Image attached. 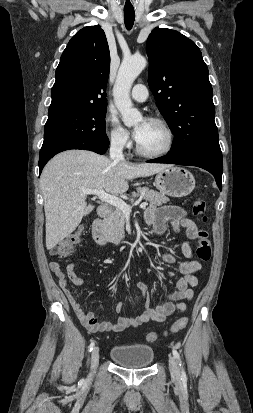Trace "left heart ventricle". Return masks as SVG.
Wrapping results in <instances>:
<instances>
[{"mask_svg": "<svg viewBox=\"0 0 253 413\" xmlns=\"http://www.w3.org/2000/svg\"><path fill=\"white\" fill-rule=\"evenodd\" d=\"M141 123L142 121L138 122L136 124V127H138ZM137 142L142 149L154 152L162 149L165 146L167 142V135L159 125L154 122L148 121Z\"/></svg>", "mask_w": 253, "mask_h": 413, "instance_id": "b2bd125f", "label": "left heart ventricle"}]
</instances>
